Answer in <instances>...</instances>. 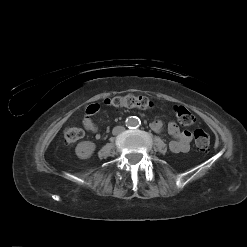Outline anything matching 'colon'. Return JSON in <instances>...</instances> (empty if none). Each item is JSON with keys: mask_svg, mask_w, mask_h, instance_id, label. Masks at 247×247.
Wrapping results in <instances>:
<instances>
[{"mask_svg": "<svg viewBox=\"0 0 247 247\" xmlns=\"http://www.w3.org/2000/svg\"><path fill=\"white\" fill-rule=\"evenodd\" d=\"M105 104L114 108H136L148 110L152 108L153 103L144 96L127 94L124 96H114L105 101ZM175 115L180 124L184 126L192 125L195 122L194 115L184 106H176ZM83 136L81 129L77 127H68L64 131V142L67 145H73ZM197 149L205 151L210 145V136L202 129H196L193 133Z\"/></svg>", "mask_w": 247, "mask_h": 247, "instance_id": "1", "label": "colon"}]
</instances>
